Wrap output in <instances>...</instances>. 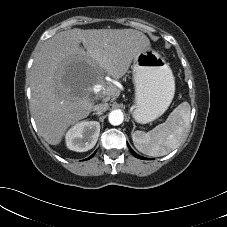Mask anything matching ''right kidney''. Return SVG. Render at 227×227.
<instances>
[{
    "instance_id": "right-kidney-1",
    "label": "right kidney",
    "mask_w": 227,
    "mask_h": 227,
    "mask_svg": "<svg viewBox=\"0 0 227 227\" xmlns=\"http://www.w3.org/2000/svg\"><path fill=\"white\" fill-rule=\"evenodd\" d=\"M100 134V123L97 121H82L71 127L66 133V146L76 152L92 149Z\"/></svg>"
}]
</instances>
